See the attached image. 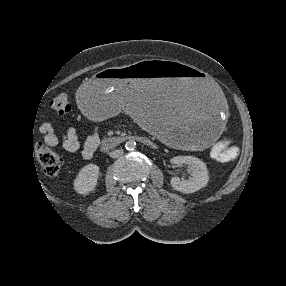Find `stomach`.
<instances>
[{"mask_svg":"<svg viewBox=\"0 0 286 286\" xmlns=\"http://www.w3.org/2000/svg\"><path fill=\"white\" fill-rule=\"evenodd\" d=\"M77 104L93 120L110 121L128 112L159 139L181 147L210 142L228 118L219 84L177 61L106 66L83 83Z\"/></svg>","mask_w":286,"mask_h":286,"instance_id":"1","label":"stomach"}]
</instances>
